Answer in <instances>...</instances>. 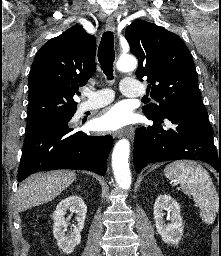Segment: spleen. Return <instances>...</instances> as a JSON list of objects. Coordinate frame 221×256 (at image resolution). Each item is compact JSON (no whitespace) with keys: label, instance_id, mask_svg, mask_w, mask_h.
Masks as SVG:
<instances>
[{"label":"spleen","instance_id":"obj_1","mask_svg":"<svg viewBox=\"0 0 221 256\" xmlns=\"http://www.w3.org/2000/svg\"><path fill=\"white\" fill-rule=\"evenodd\" d=\"M165 176L180 183L183 192L191 195L206 224H212L218 213V193L209 173L192 161H174L164 169Z\"/></svg>","mask_w":221,"mask_h":256}]
</instances>
